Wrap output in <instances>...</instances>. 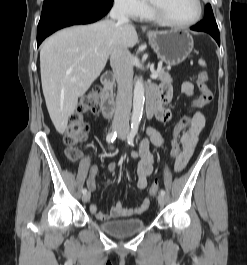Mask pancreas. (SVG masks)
<instances>
[{
    "label": "pancreas",
    "instance_id": "cf45deb5",
    "mask_svg": "<svg viewBox=\"0 0 247 265\" xmlns=\"http://www.w3.org/2000/svg\"><path fill=\"white\" fill-rule=\"evenodd\" d=\"M156 73L158 74V79L161 81H168V82H172V78L169 74V72L166 70V68L164 67H160L158 68V70L156 71Z\"/></svg>",
    "mask_w": 247,
    "mask_h": 265
}]
</instances>
